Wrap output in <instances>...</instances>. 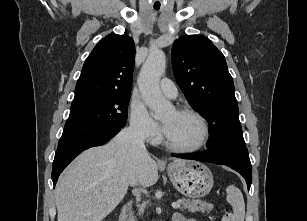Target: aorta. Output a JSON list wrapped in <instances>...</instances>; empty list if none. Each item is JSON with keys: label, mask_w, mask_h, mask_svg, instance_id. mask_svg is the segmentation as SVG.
Here are the masks:
<instances>
[{"label": "aorta", "mask_w": 307, "mask_h": 221, "mask_svg": "<svg viewBox=\"0 0 307 221\" xmlns=\"http://www.w3.org/2000/svg\"><path fill=\"white\" fill-rule=\"evenodd\" d=\"M165 68L164 52L151 51L141 68L137 81L141 96L156 119L162 118L172 109V105L164 99L159 87V81Z\"/></svg>", "instance_id": "1"}]
</instances>
